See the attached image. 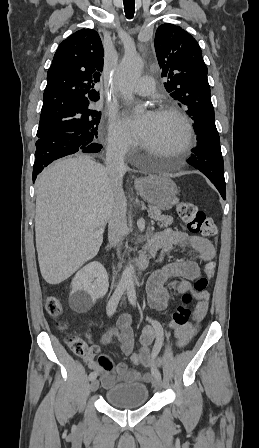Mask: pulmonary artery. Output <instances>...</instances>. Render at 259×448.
<instances>
[{"label": "pulmonary artery", "instance_id": "obj_1", "mask_svg": "<svg viewBox=\"0 0 259 448\" xmlns=\"http://www.w3.org/2000/svg\"><path fill=\"white\" fill-rule=\"evenodd\" d=\"M120 65L123 68V70L127 73H134L138 72L139 70V65L136 64L134 61H132L130 56L125 57L121 61ZM135 80L138 84L130 86L128 89L129 92L139 95H149L154 91L153 87L142 84L145 81L154 80L151 76H137Z\"/></svg>", "mask_w": 259, "mask_h": 448}]
</instances>
